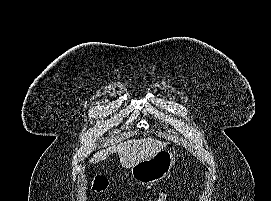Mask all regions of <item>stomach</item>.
Segmentation results:
<instances>
[{
    "mask_svg": "<svg viewBox=\"0 0 271 201\" xmlns=\"http://www.w3.org/2000/svg\"><path fill=\"white\" fill-rule=\"evenodd\" d=\"M174 165V155L169 150H161L149 159L131 167L132 178L140 184H152L165 178Z\"/></svg>",
    "mask_w": 271,
    "mask_h": 201,
    "instance_id": "0dacf381",
    "label": "stomach"
}]
</instances>
